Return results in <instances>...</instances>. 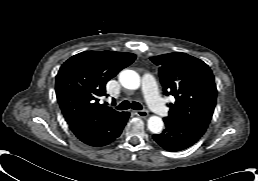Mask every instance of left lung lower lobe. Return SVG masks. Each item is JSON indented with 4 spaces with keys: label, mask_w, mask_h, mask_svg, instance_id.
Listing matches in <instances>:
<instances>
[{
    "label": "left lung lower lobe",
    "mask_w": 258,
    "mask_h": 181,
    "mask_svg": "<svg viewBox=\"0 0 258 181\" xmlns=\"http://www.w3.org/2000/svg\"><path fill=\"white\" fill-rule=\"evenodd\" d=\"M165 130L153 139L167 151H180L193 145L205 132L197 126L164 119Z\"/></svg>",
    "instance_id": "left-lung-lower-lobe-1"
}]
</instances>
